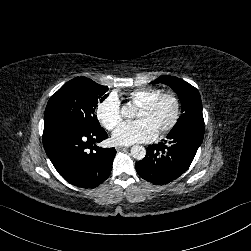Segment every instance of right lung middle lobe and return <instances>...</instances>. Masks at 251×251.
Segmentation results:
<instances>
[{"instance_id":"right-lung-middle-lobe-1","label":"right lung middle lobe","mask_w":251,"mask_h":251,"mask_svg":"<svg viewBox=\"0 0 251 251\" xmlns=\"http://www.w3.org/2000/svg\"><path fill=\"white\" fill-rule=\"evenodd\" d=\"M108 87L86 77H76L65 83L49 99L44 121L64 120L81 127L100 125L94 114L98 101L107 98Z\"/></svg>"}]
</instances>
